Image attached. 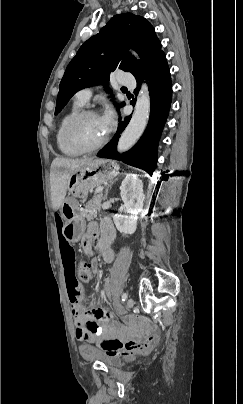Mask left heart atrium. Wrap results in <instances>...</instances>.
<instances>
[{
	"instance_id": "obj_1",
	"label": "left heart atrium",
	"mask_w": 243,
	"mask_h": 404,
	"mask_svg": "<svg viewBox=\"0 0 243 404\" xmlns=\"http://www.w3.org/2000/svg\"><path fill=\"white\" fill-rule=\"evenodd\" d=\"M101 128L103 131V134L106 136L108 135L115 124L116 116L113 110L110 108H106L101 116H99Z\"/></svg>"
}]
</instances>
